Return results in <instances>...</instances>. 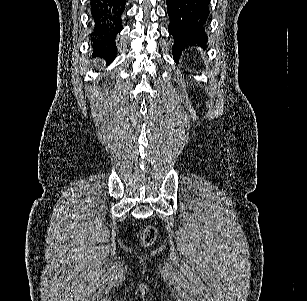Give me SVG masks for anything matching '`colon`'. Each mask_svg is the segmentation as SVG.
Returning a JSON list of instances; mask_svg holds the SVG:
<instances>
[{"label":"colon","mask_w":307,"mask_h":301,"mask_svg":"<svg viewBox=\"0 0 307 301\" xmlns=\"http://www.w3.org/2000/svg\"><path fill=\"white\" fill-rule=\"evenodd\" d=\"M156 238V229L152 226H147L142 234L141 239L144 245L151 244Z\"/></svg>","instance_id":"obj_1"}]
</instances>
